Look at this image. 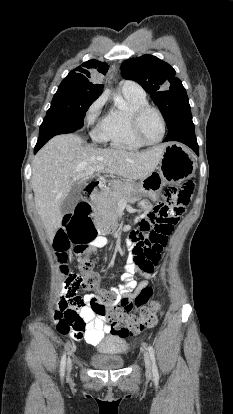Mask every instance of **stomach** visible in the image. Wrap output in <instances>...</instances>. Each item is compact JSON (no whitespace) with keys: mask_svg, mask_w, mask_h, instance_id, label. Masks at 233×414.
<instances>
[{"mask_svg":"<svg viewBox=\"0 0 233 414\" xmlns=\"http://www.w3.org/2000/svg\"><path fill=\"white\" fill-rule=\"evenodd\" d=\"M194 169V159L187 150L178 145L167 144L159 162V170L147 173L140 184L129 182L125 187V197L129 202H135L144 196L153 197L154 194L162 192L161 185H164V180L180 183L191 177ZM152 188L153 191L150 190Z\"/></svg>","mask_w":233,"mask_h":414,"instance_id":"0dacf381","label":"stomach"}]
</instances>
